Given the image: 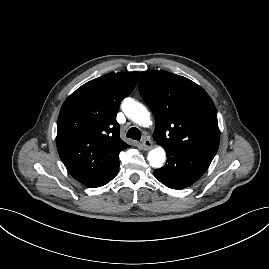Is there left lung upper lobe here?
Masks as SVG:
<instances>
[{"mask_svg":"<svg viewBox=\"0 0 269 269\" xmlns=\"http://www.w3.org/2000/svg\"><path fill=\"white\" fill-rule=\"evenodd\" d=\"M138 89L155 117L153 139L157 144L165 150L216 154L220 141L217 112L202 87L173 73L143 71Z\"/></svg>","mask_w":269,"mask_h":269,"instance_id":"obj_1","label":"left lung upper lobe"}]
</instances>
